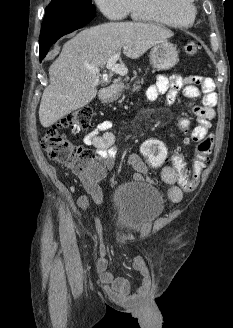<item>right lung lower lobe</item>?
Masks as SVG:
<instances>
[{
  "mask_svg": "<svg viewBox=\"0 0 233 328\" xmlns=\"http://www.w3.org/2000/svg\"><path fill=\"white\" fill-rule=\"evenodd\" d=\"M95 13H46L41 25L39 39L40 61L45 57L53 43L60 37L85 26L94 18Z\"/></svg>",
  "mask_w": 233,
  "mask_h": 328,
  "instance_id": "right-lung-lower-lobe-1",
  "label": "right lung lower lobe"
}]
</instances>
